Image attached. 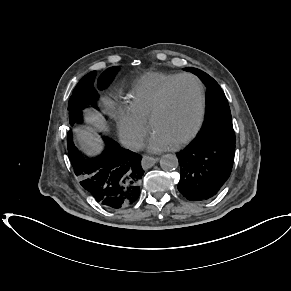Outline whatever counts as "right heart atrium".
Returning a JSON list of instances; mask_svg holds the SVG:
<instances>
[{
	"mask_svg": "<svg viewBox=\"0 0 291 291\" xmlns=\"http://www.w3.org/2000/svg\"><path fill=\"white\" fill-rule=\"evenodd\" d=\"M118 127L120 138L132 149H138L148 133L146 122L135 117L128 108L121 109Z\"/></svg>",
	"mask_w": 291,
	"mask_h": 291,
	"instance_id": "obj_1",
	"label": "right heart atrium"
}]
</instances>
